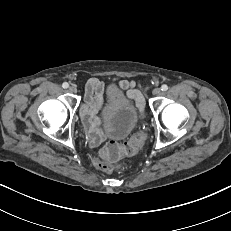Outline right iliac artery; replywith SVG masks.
Listing matches in <instances>:
<instances>
[{"label": "right iliac artery", "mask_w": 231, "mask_h": 231, "mask_svg": "<svg viewBox=\"0 0 231 231\" xmlns=\"http://www.w3.org/2000/svg\"><path fill=\"white\" fill-rule=\"evenodd\" d=\"M62 87L66 89V88L69 87V84H68L67 82H64V83L62 84Z\"/></svg>", "instance_id": "1"}]
</instances>
